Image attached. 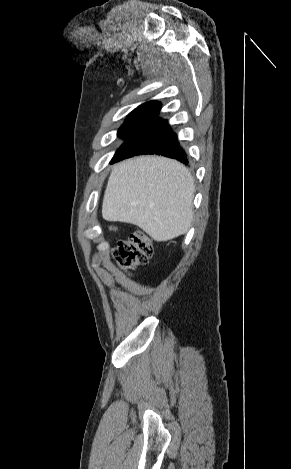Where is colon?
<instances>
[{"instance_id":"colon-1","label":"colon","mask_w":291,"mask_h":469,"mask_svg":"<svg viewBox=\"0 0 291 469\" xmlns=\"http://www.w3.org/2000/svg\"><path fill=\"white\" fill-rule=\"evenodd\" d=\"M153 254V244L142 231L120 240L113 249V258L125 270H133L146 264Z\"/></svg>"}]
</instances>
